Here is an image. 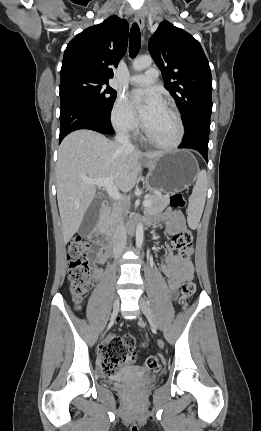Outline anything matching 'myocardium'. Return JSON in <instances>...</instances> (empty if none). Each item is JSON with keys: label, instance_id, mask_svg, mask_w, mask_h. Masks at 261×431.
Here are the masks:
<instances>
[{"label": "myocardium", "instance_id": "f54148a6", "mask_svg": "<svg viewBox=\"0 0 261 431\" xmlns=\"http://www.w3.org/2000/svg\"><path fill=\"white\" fill-rule=\"evenodd\" d=\"M175 117L176 123H177V135L175 137V139L172 142L169 143H162L157 141L150 133L149 131L146 129V127H143V132L145 135V138L147 139V141L162 150H175L176 148H178L182 141H183V137H184V125H183V121L181 118V114L180 112L171 104H169L168 102H165L163 104Z\"/></svg>", "mask_w": 261, "mask_h": 431}]
</instances>
